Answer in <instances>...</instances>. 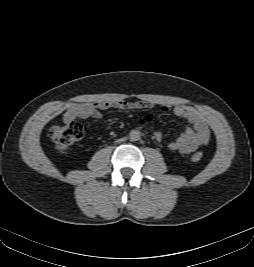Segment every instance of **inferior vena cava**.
<instances>
[{
  "label": "inferior vena cava",
  "mask_w": 254,
  "mask_h": 267,
  "mask_svg": "<svg viewBox=\"0 0 254 267\" xmlns=\"http://www.w3.org/2000/svg\"><path fill=\"white\" fill-rule=\"evenodd\" d=\"M124 139L122 138V139H120L119 141H123Z\"/></svg>",
  "instance_id": "1"
}]
</instances>
